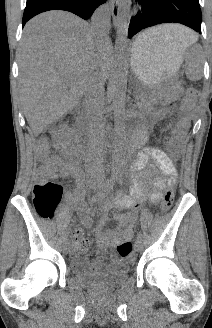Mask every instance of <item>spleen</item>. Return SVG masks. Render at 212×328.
<instances>
[{"instance_id":"3e777b00","label":"spleen","mask_w":212,"mask_h":328,"mask_svg":"<svg viewBox=\"0 0 212 328\" xmlns=\"http://www.w3.org/2000/svg\"><path fill=\"white\" fill-rule=\"evenodd\" d=\"M148 39H150L149 35H147L146 32H143L137 37L134 44L143 46L148 41ZM190 44L191 43L187 44L185 46V48H187ZM187 76L190 79L197 80V79L201 78V72L200 71H194V70H191L190 68H188L187 69Z\"/></svg>"}]
</instances>
